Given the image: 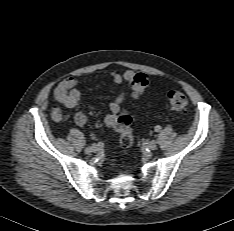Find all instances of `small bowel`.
Returning a JSON list of instances; mask_svg holds the SVG:
<instances>
[{"label": "small bowel", "instance_id": "c3829d8e", "mask_svg": "<svg viewBox=\"0 0 234 231\" xmlns=\"http://www.w3.org/2000/svg\"><path fill=\"white\" fill-rule=\"evenodd\" d=\"M111 79L116 84H122L124 81L130 83L133 78V73L128 71L124 74L118 72H112L110 74ZM81 76H73L63 79L55 88L54 96L56 101L67 108H73L82 101V95L78 89ZM125 99L124 93H119L114 100L110 103V109L105 116L104 122L108 127L115 126L121 105ZM51 117L54 121H59L62 118L61 109L55 106L51 111ZM74 120L78 125H83L86 122V115L83 112H77L74 116Z\"/></svg>", "mask_w": 234, "mask_h": 231}]
</instances>
